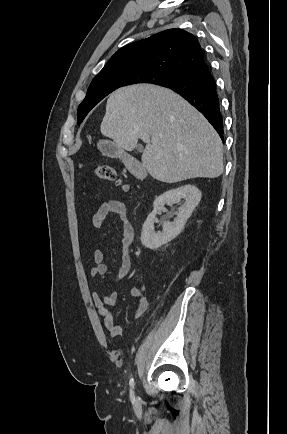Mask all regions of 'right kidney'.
Instances as JSON below:
<instances>
[{
    "mask_svg": "<svg viewBox=\"0 0 287 434\" xmlns=\"http://www.w3.org/2000/svg\"><path fill=\"white\" fill-rule=\"evenodd\" d=\"M200 200L201 191L191 184L169 190L157 197L153 203L154 209L148 215L142 228L141 243L143 246L149 249H157L178 236ZM180 201H182V205L178 208L176 218L173 222H164L162 232L156 233L154 231L156 214L164 209L165 204Z\"/></svg>",
    "mask_w": 287,
    "mask_h": 434,
    "instance_id": "1",
    "label": "right kidney"
}]
</instances>
